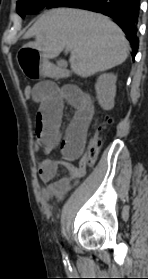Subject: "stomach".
I'll use <instances>...</instances> for the list:
<instances>
[{"mask_svg": "<svg viewBox=\"0 0 148 279\" xmlns=\"http://www.w3.org/2000/svg\"><path fill=\"white\" fill-rule=\"evenodd\" d=\"M16 63L27 82H48L54 75L44 50H16Z\"/></svg>", "mask_w": 148, "mask_h": 279, "instance_id": "obj_1", "label": "stomach"}]
</instances>
